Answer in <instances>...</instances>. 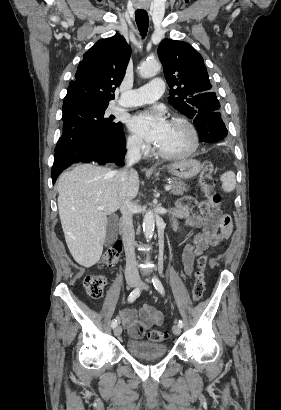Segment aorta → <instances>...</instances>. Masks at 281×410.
Instances as JSON below:
<instances>
[{
  "label": "aorta",
  "mask_w": 281,
  "mask_h": 410,
  "mask_svg": "<svg viewBox=\"0 0 281 410\" xmlns=\"http://www.w3.org/2000/svg\"><path fill=\"white\" fill-rule=\"evenodd\" d=\"M161 69V64L158 61H146L139 67V74L143 78H150L155 76ZM155 220L154 214L148 211L143 219V232L145 238L150 240L154 234Z\"/></svg>",
  "instance_id": "1"
}]
</instances>
